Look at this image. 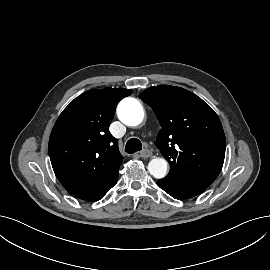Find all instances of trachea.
<instances>
[{"mask_svg":"<svg viewBox=\"0 0 270 270\" xmlns=\"http://www.w3.org/2000/svg\"><path fill=\"white\" fill-rule=\"evenodd\" d=\"M142 149V144L139 139L137 138H131L127 141L125 146V151L129 154H133L135 152H138Z\"/></svg>","mask_w":270,"mask_h":270,"instance_id":"trachea-1","label":"trachea"}]
</instances>
